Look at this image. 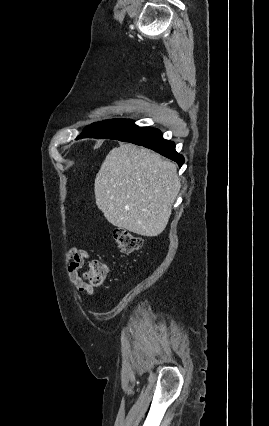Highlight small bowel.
I'll return each instance as SVG.
<instances>
[{
    "label": "small bowel",
    "instance_id": "small-bowel-1",
    "mask_svg": "<svg viewBox=\"0 0 269 426\" xmlns=\"http://www.w3.org/2000/svg\"><path fill=\"white\" fill-rule=\"evenodd\" d=\"M90 258L89 253L79 247L73 246L69 249L66 255L67 259V272L69 278L76 291L84 296H91L94 292V286L87 283L80 275L79 270L83 268L85 262Z\"/></svg>",
    "mask_w": 269,
    "mask_h": 426
}]
</instances>
